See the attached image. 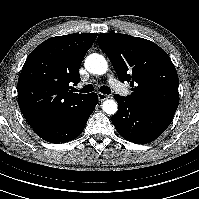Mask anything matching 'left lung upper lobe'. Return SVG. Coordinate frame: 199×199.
Segmentation results:
<instances>
[{"mask_svg":"<svg viewBox=\"0 0 199 199\" xmlns=\"http://www.w3.org/2000/svg\"><path fill=\"white\" fill-rule=\"evenodd\" d=\"M118 78L130 82L133 103L173 118L179 104L178 75L167 55L155 43L121 33L98 35Z\"/></svg>","mask_w":199,"mask_h":199,"instance_id":"obj_1","label":"left lung upper lobe"}]
</instances>
